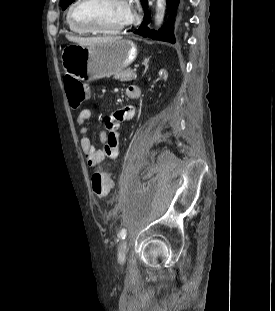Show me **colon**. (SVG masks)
Here are the masks:
<instances>
[{
	"label": "colon",
	"mask_w": 275,
	"mask_h": 311,
	"mask_svg": "<svg viewBox=\"0 0 275 311\" xmlns=\"http://www.w3.org/2000/svg\"><path fill=\"white\" fill-rule=\"evenodd\" d=\"M64 85L68 102L72 108H78L91 98L90 87L79 80L66 76ZM91 184L92 190L97 197L107 196L112 188L109 174L98 167L92 172Z\"/></svg>",
	"instance_id": "colon-1"
}]
</instances>
